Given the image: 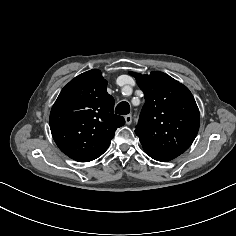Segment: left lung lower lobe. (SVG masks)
Returning a JSON list of instances; mask_svg holds the SVG:
<instances>
[{
    "label": "left lung lower lobe",
    "instance_id": "left-lung-lower-lobe-1",
    "mask_svg": "<svg viewBox=\"0 0 236 236\" xmlns=\"http://www.w3.org/2000/svg\"><path fill=\"white\" fill-rule=\"evenodd\" d=\"M145 152L153 159L161 162H167L179 156L177 154H172V153H162V152L147 151V150H145Z\"/></svg>",
    "mask_w": 236,
    "mask_h": 236
}]
</instances>
